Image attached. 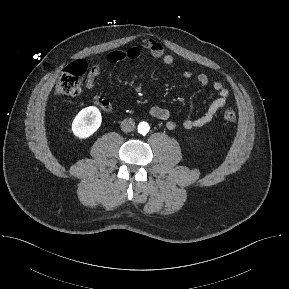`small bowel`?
Returning a JSON list of instances; mask_svg holds the SVG:
<instances>
[{
	"mask_svg": "<svg viewBox=\"0 0 289 289\" xmlns=\"http://www.w3.org/2000/svg\"><path fill=\"white\" fill-rule=\"evenodd\" d=\"M142 50L148 52L154 58L162 60V62L166 65H171L174 62L173 56L166 53L164 47L159 42L152 39L145 40L142 43L141 48L138 46H132L126 50L112 51L107 55V61L111 64H115L125 60H135L139 58ZM100 73L101 66L99 64H95L90 68L85 81V87L87 89L93 88L95 80L100 75ZM183 76L189 79L192 77V72L185 70L183 72ZM197 81L202 87H206L210 84L208 76L204 73H201L197 76ZM211 86L217 92L218 97L210 103L203 115L195 119H186L183 122V127L185 129L198 128L210 123L217 112L226 105L227 98L229 96L228 89L225 88L219 81L212 82ZM93 102L106 112L114 111L112 103L100 95H95L93 97ZM148 113L156 119L165 121L166 127L169 130H174L177 126L176 122L171 119L170 111L164 107L151 106L148 109Z\"/></svg>",
	"mask_w": 289,
	"mask_h": 289,
	"instance_id": "c3829d8e",
	"label": "small bowel"
}]
</instances>
